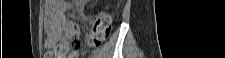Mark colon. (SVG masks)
<instances>
[{
	"mask_svg": "<svg viewBox=\"0 0 225 58\" xmlns=\"http://www.w3.org/2000/svg\"><path fill=\"white\" fill-rule=\"evenodd\" d=\"M111 33V17L107 13H99L93 23L91 32L87 39L90 47H99L102 45ZM81 43L77 35V28L71 26L64 44L57 46L53 50V55L62 57L68 53H77L80 50ZM76 57V56H74Z\"/></svg>",
	"mask_w": 225,
	"mask_h": 58,
	"instance_id": "colon-1",
	"label": "colon"
}]
</instances>
